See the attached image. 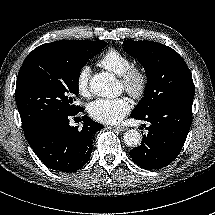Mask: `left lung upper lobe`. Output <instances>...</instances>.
I'll return each instance as SVG.
<instances>
[{
    "mask_svg": "<svg viewBox=\"0 0 215 215\" xmlns=\"http://www.w3.org/2000/svg\"><path fill=\"white\" fill-rule=\"evenodd\" d=\"M124 51L146 70L144 97L131 116H144L159 106L193 99L195 88L183 58L172 48L153 41H124Z\"/></svg>",
    "mask_w": 215,
    "mask_h": 215,
    "instance_id": "left-lung-upper-lobe-1",
    "label": "left lung upper lobe"
}]
</instances>
